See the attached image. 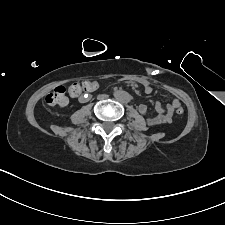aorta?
<instances>
[{
  "label": "aorta",
  "instance_id": "aorta-1",
  "mask_svg": "<svg viewBox=\"0 0 225 225\" xmlns=\"http://www.w3.org/2000/svg\"><path fill=\"white\" fill-rule=\"evenodd\" d=\"M114 96L117 100L123 103H127L130 101L131 96L128 92L126 91H117L114 93Z\"/></svg>",
  "mask_w": 225,
  "mask_h": 225
}]
</instances>
